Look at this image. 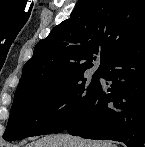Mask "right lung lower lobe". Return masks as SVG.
I'll return each mask as SVG.
<instances>
[{"label": "right lung lower lobe", "mask_w": 145, "mask_h": 147, "mask_svg": "<svg viewBox=\"0 0 145 147\" xmlns=\"http://www.w3.org/2000/svg\"><path fill=\"white\" fill-rule=\"evenodd\" d=\"M101 86L89 105L65 129L88 139L115 140L128 147L145 144V32L104 66Z\"/></svg>", "instance_id": "obj_1"}]
</instances>
